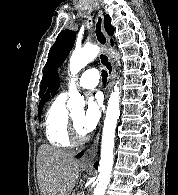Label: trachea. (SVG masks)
I'll list each match as a JSON object with an SVG mask.
<instances>
[{"mask_svg": "<svg viewBox=\"0 0 178 195\" xmlns=\"http://www.w3.org/2000/svg\"><path fill=\"white\" fill-rule=\"evenodd\" d=\"M108 73L106 70H102V81L104 84L107 82Z\"/></svg>", "mask_w": 178, "mask_h": 195, "instance_id": "obj_1", "label": "trachea"}]
</instances>
